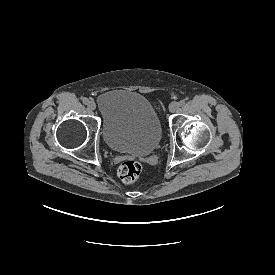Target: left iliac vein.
I'll return each instance as SVG.
<instances>
[{
    "label": "left iliac vein",
    "mask_w": 275,
    "mask_h": 275,
    "mask_svg": "<svg viewBox=\"0 0 275 275\" xmlns=\"http://www.w3.org/2000/svg\"><path fill=\"white\" fill-rule=\"evenodd\" d=\"M178 107H179V104L177 102H171L169 105V111L171 113H174L175 111H177Z\"/></svg>",
    "instance_id": "obj_1"
}]
</instances>
